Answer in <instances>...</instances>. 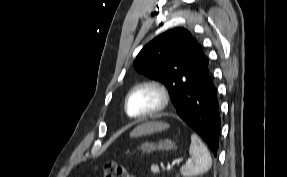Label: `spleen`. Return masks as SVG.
Segmentation results:
<instances>
[{"mask_svg": "<svg viewBox=\"0 0 287 177\" xmlns=\"http://www.w3.org/2000/svg\"><path fill=\"white\" fill-rule=\"evenodd\" d=\"M191 159L181 167L180 172L185 177H192L207 172L212 165L211 155L207 147L196 136L191 135L189 149Z\"/></svg>", "mask_w": 287, "mask_h": 177, "instance_id": "1", "label": "spleen"}]
</instances>
